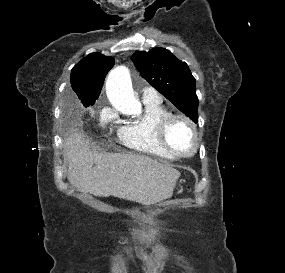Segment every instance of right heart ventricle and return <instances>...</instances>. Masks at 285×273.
Returning a JSON list of instances; mask_svg holds the SVG:
<instances>
[{"label": "right heart ventricle", "mask_w": 285, "mask_h": 273, "mask_svg": "<svg viewBox=\"0 0 285 273\" xmlns=\"http://www.w3.org/2000/svg\"><path fill=\"white\" fill-rule=\"evenodd\" d=\"M143 114L119 126L117 134L120 142L127 148L141 153L163 158H175L161 143L158 127L170 111L161 101L144 102Z\"/></svg>", "instance_id": "1"}]
</instances>
